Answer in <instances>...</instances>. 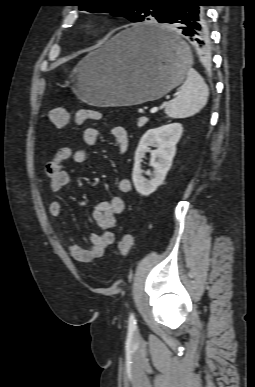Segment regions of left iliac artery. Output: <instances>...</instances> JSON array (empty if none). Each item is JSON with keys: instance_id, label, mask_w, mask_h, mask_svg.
Wrapping results in <instances>:
<instances>
[{"instance_id": "left-iliac-artery-1", "label": "left iliac artery", "mask_w": 255, "mask_h": 387, "mask_svg": "<svg viewBox=\"0 0 255 387\" xmlns=\"http://www.w3.org/2000/svg\"><path fill=\"white\" fill-rule=\"evenodd\" d=\"M129 327L132 328V329H135L136 328V318H135V315L134 313H130L129 315Z\"/></svg>"}]
</instances>
